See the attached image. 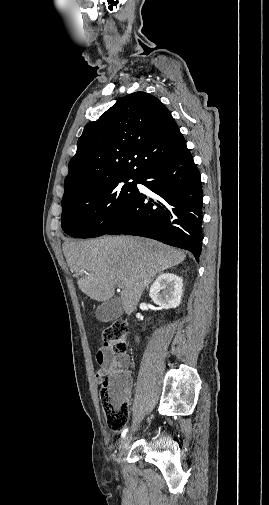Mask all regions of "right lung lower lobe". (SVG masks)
<instances>
[{"instance_id": "obj_1", "label": "right lung lower lobe", "mask_w": 269, "mask_h": 505, "mask_svg": "<svg viewBox=\"0 0 269 505\" xmlns=\"http://www.w3.org/2000/svg\"><path fill=\"white\" fill-rule=\"evenodd\" d=\"M156 195L138 192L123 217L106 234L152 238L189 250L199 262L202 250L201 176L186 144L149 166L138 178Z\"/></svg>"}]
</instances>
